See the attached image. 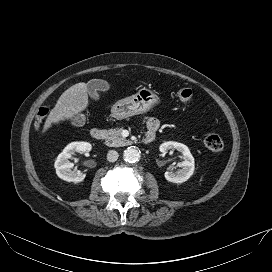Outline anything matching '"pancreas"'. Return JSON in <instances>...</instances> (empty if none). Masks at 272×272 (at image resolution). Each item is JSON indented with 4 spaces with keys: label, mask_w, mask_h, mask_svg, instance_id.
I'll list each match as a JSON object with an SVG mask.
<instances>
[{
    "label": "pancreas",
    "mask_w": 272,
    "mask_h": 272,
    "mask_svg": "<svg viewBox=\"0 0 272 272\" xmlns=\"http://www.w3.org/2000/svg\"><path fill=\"white\" fill-rule=\"evenodd\" d=\"M106 145L110 147H121L130 142L122 136V128L116 127L106 131Z\"/></svg>",
    "instance_id": "cf45deb5"
}]
</instances>
